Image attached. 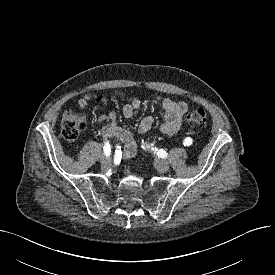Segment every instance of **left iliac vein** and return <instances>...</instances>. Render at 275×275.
Here are the masks:
<instances>
[{"mask_svg":"<svg viewBox=\"0 0 275 275\" xmlns=\"http://www.w3.org/2000/svg\"><path fill=\"white\" fill-rule=\"evenodd\" d=\"M155 167L156 169L161 172L165 173L169 170V163L163 159H156L155 160Z\"/></svg>","mask_w":275,"mask_h":275,"instance_id":"left-iliac-vein-1","label":"left iliac vein"}]
</instances>
